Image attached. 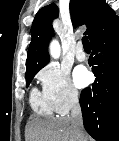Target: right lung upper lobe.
I'll use <instances>...</instances> for the list:
<instances>
[{
    "label": "right lung upper lobe",
    "mask_w": 119,
    "mask_h": 141,
    "mask_svg": "<svg viewBox=\"0 0 119 141\" xmlns=\"http://www.w3.org/2000/svg\"><path fill=\"white\" fill-rule=\"evenodd\" d=\"M70 9L75 26L85 24L89 39L97 29L114 16L105 0H71ZM58 16L55 4L43 7L36 14L31 28V43L26 61V74L38 72L49 62L48 43L54 33L52 20Z\"/></svg>",
    "instance_id": "right-lung-upper-lobe-1"
}]
</instances>
